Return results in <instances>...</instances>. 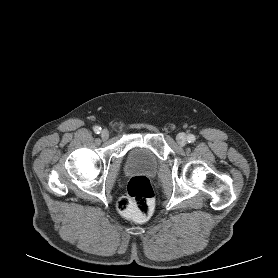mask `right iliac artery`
Segmentation results:
<instances>
[{"label": "right iliac artery", "mask_w": 278, "mask_h": 278, "mask_svg": "<svg viewBox=\"0 0 278 278\" xmlns=\"http://www.w3.org/2000/svg\"><path fill=\"white\" fill-rule=\"evenodd\" d=\"M94 132L97 133V134H99V133L101 132V127L95 126V127H94Z\"/></svg>", "instance_id": "obj_1"}]
</instances>
